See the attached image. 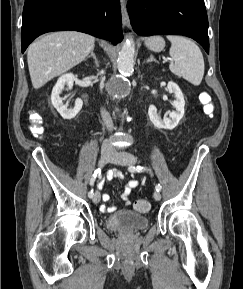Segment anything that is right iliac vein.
Wrapping results in <instances>:
<instances>
[{
	"label": "right iliac vein",
	"mask_w": 243,
	"mask_h": 289,
	"mask_svg": "<svg viewBox=\"0 0 243 289\" xmlns=\"http://www.w3.org/2000/svg\"><path fill=\"white\" fill-rule=\"evenodd\" d=\"M112 156H113L112 152L108 150H103L100 155L99 166L101 167L105 165L107 162H109L112 159ZM92 200L95 204L99 203L101 200L100 192L96 191L92 197Z\"/></svg>",
	"instance_id": "63e3f726"
}]
</instances>
